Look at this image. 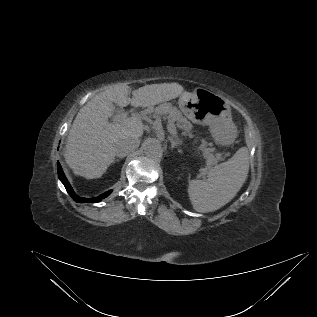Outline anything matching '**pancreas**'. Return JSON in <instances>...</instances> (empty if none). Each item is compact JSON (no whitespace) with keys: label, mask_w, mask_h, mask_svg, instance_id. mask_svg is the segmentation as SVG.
<instances>
[{"label":"pancreas","mask_w":317,"mask_h":317,"mask_svg":"<svg viewBox=\"0 0 317 317\" xmlns=\"http://www.w3.org/2000/svg\"><path fill=\"white\" fill-rule=\"evenodd\" d=\"M148 113H153V117L157 118L161 115H167L169 123H176L178 127L184 130L183 135L189 136L193 138L191 130L193 125L182 115V113L175 107H173L170 103H163L156 107L155 109H148ZM208 143L205 140L201 141V145L199 149L203 151V156L206 158L207 169L212 165L217 164L218 160L221 159V155L219 153L214 154L215 149L212 147H208Z\"/></svg>","instance_id":"1"}]
</instances>
